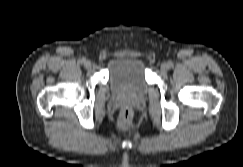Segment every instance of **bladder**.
I'll return each instance as SVG.
<instances>
[{
    "instance_id": "31cf9c89",
    "label": "bladder",
    "mask_w": 243,
    "mask_h": 167,
    "mask_svg": "<svg viewBox=\"0 0 243 167\" xmlns=\"http://www.w3.org/2000/svg\"><path fill=\"white\" fill-rule=\"evenodd\" d=\"M112 89L121 95L138 97L146 93L147 82L143 62L133 56L113 59L109 65Z\"/></svg>"
}]
</instances>
